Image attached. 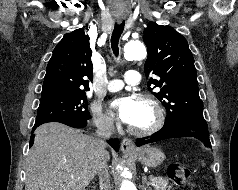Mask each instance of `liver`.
Segmentation results:
<instances>
[{
    "label": "liver",
    "mask_w": 238,
    "mask_h": 190,
    "mask_svg": "<svg viewBox=\"0 0 238 190\" xmlns=\"http://www.w3.org/2000/svg\"><path fill=\"white\" fill-rule=\"evenodd\" d=\"M97 169L96 138L58 122L45 123L36 129L27 157L25 190H85Z\"/></svg>",
    "instance_id": "1"
}]
</instances>
